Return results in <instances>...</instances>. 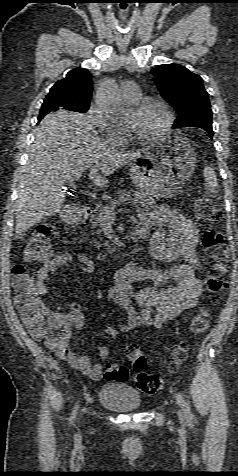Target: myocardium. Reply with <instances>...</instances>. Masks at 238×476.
Listing matches in <instances>:
<instances>
[{"mask_svg":"<svg viewBox=\"0 0 238 476\" xmlns=\"http://www.w3.org/2000/svg\"><path fill=\"white\" fill-rule=\"evenodd\" d=\"M152 105L159 106L160 108L163 109V111L165 113V116H166V121H165L164 125L158 131H156L152 134H149V135H139L131 127L126 125L128 131L130 132L133 139H135L139 142L152 141V140H155L157 138H160V137L166 135L170 131V129L172 128V126L174 124L173 111H172L170 105L167 102H165L164 100L157 99V98L145 99V100H142V101L138 102L137 104H135L133 109L136 112H140L143 109H145L149 106H152Z\"/></svg>","mask_w":238,"mask_h":476,"instance_id":"1","label":"myocardium"}]
</instances>
